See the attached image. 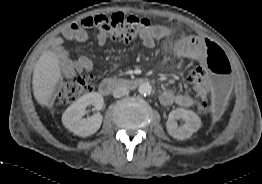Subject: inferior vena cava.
<instances>
[{"label": "inferior vena cava", "mask_w": 262, "mask_h": 184, "mask_svg": "<svg viewBox=\"0 0 262 184\" xmlns=\"http://www.w3.org/2000/svg\"><path fill=\"white\" fill-rule=\"evenodd\" d=\"M128 94H129V90L124 86H119V87L115 88L114 91H113V96L115 98H120V97L126 96Z\"/></svg>", "instance_id": "inferior-vena-cava-1"}]
</instances>
